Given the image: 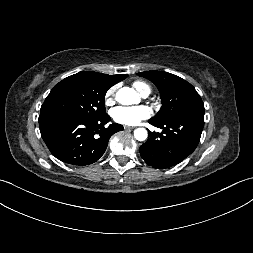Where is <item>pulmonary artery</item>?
I'll return each instance as SVG.
<instances>
[{
  "mask_svg": "<svg viewBox=\"0 0 253 253\" xmlns=\"http://www.w3.org/2000/svg\"><path fill=\"white\" fill-rule=\"evenodd\" d=\"M148 94H144L143 96L146 97Z\"/></svg>",
  "mask_w": 253,
  "mask_h": 253,
  "instance_id": "obj_1",
  "label": "pulmonary artery"
}]
</instances>
